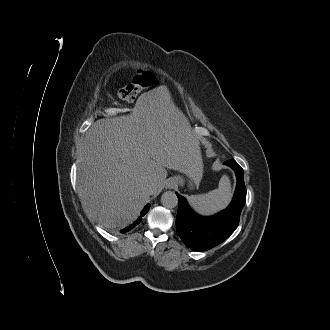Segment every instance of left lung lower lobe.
<instances>
[{"label":"left lung lower lobe","mask_w":330,"mask_h":330,"mask_svg":"<svg viewBox=\"0 0 330 330\" xmlns=\"http://www.w3.org/2000/svg\"><path fill=\"white\" fill-rule=\"evenodd\" d=\"M224 164L230 166L237 177L234 197L225 210L210 217L200 216L188 206L185 198L176 193L178 197L176 230L183 242L193 250L206 251L219 245L239 224L240 213L244 206L242 198L246 196L243 169L233 159Z\"/></svg>","instance_id":"1"}]
</instances>
